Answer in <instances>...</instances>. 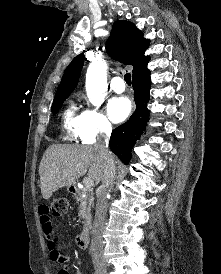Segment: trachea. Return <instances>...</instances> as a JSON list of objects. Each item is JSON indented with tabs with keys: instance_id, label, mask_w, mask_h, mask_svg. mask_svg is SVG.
Masks as SVG:
<instances>
[{
	"instance_id": "1",
	"label": "trachea",
	"mask_w": 221,
	"mask_h": 274,
	"mask_svg": "<svg viewBox=\"0 0 221 274\" xmlns=\"http://www.w3.org/2000/svg\"><path fill=\"white\" fill-rule=\"evenodd\" d=\"M124 80H125V82H126L128 85L131 84V76H130V73H126V74L124 75Z\"/></svg>"
}]
</instances>
